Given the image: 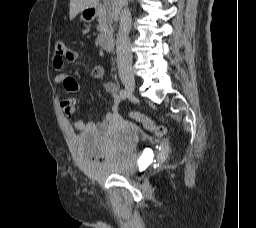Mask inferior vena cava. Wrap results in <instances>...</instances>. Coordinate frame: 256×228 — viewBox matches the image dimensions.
Returning a JSON list of instances; mask_svg holds the SVG:
<instances>
[{
  "label": "inferior vena cava",
  "instance_id": "602c4592",
  "mask_svg": "<svg viewBox=\"0 0 256 228\" xmlns=\"http://www.w3.org/2000/svg\"><path fill=\"white\" fill-rule=\"evenodd\" d=\"M127 0H115L113 5V16L115 22L120 19V29L116 39L117 66L120 76L131 74L132 54L130 49V40L128 34L124 33L121 22V10L126 5Z\"/></svg>",
  "mask_w": 256,
  "mask_h": 228
}]
</instances>
